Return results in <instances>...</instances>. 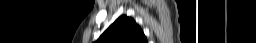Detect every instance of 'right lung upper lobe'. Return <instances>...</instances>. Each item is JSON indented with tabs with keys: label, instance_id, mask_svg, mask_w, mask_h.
Segmentation results:
<instances>
[{
	"label": "right lung upper lobe",
	"instance_id": "right-lung-upper-lobe-1",
	"mask_svg": "<svg viewBox=\"0 0 256 43\" xmlns=\"http://www.w3.org/2000/svg\"><path fill=\"white\" fill-rule=\"evenodd\" d=\"M97 43H148L142 29L127 16H120L100 36Z\"/></svg>",
	"mask_w": 256,
	"mask_h": 43
}]
</instances>
